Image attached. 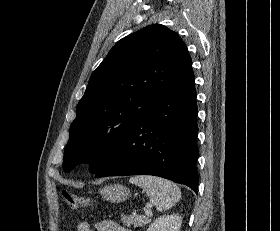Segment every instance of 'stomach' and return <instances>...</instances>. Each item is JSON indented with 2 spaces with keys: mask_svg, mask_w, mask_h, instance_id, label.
I'll use <instances>...</instances> for the list:
<instances>
[{
  "mask_svg": "<svg viewBox=\"0 0 280 231\" xmlns=\"http://www.w3.org/2000/svg\"><path fill=\"white\" fill-rule=\"evenodd\" d=\"M100 193L103 199H107L111 203H120V201H125L129 197L130 189L125 187V185H120V183H113V185L102 187Z\"/></svg>",
  "mask_w": 280,
  "mask_h": 231,
  "instance_id": "stomach-1",
  "label": "stomach"
}]
</instances>
